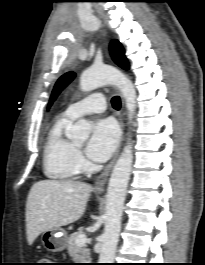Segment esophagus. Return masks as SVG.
I'll list each match as a JSON object with an SVG mask.
<instances>
[{"label": "esophagus", "mask_w": 205, "mask_h": 265, "mask_svg": "<svg viewBox=\"0 0 205 265\" xmlns=\"http://www.w3.org/2000/svg\"><path fill=\"white\" fill-rule=\"evenodd\" d=\"M121 103H122V108H121V112H122L123 104H124L122 95H121ZM119 122H120V127H121V133L123 135L124 124H123V118H122L121 113L119 115ZM121 140H122V138H121ZM119 151H120V147L117 150L113 159L110 161V163L105 167V169L101 172V174L96 178L95 186H94L95 191H97V192H103L104 191L108 176H109L110 171H111V169H112V167H113V165H114V163L118 157Z\"/></svg>", "instance_id": "34e87169"}]
</instances>
